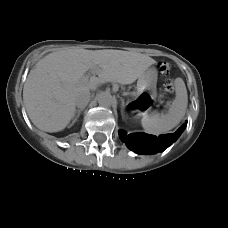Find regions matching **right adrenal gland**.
<instances>
[{
    "label": "right adrenal gland",
    "mask_w": 228,
    "mask_h": 228,
    "mask_svg": "<svg viewBox=\"0 0 228 228\" xmlns=\"http://www.w3.org/2000/svg\"><path fill=\"white\" fill-rule=\"evenodd\" d=\"M84 110V108H81V109H78V110H76L75 111V113L77 114L76 116H75V118H74V120L72 121V124L71 125H73L77 120H78V118L80 117V114H81V112Z\"/></svg>",
    "instance_id": "obj_1"
}]
</instances>
